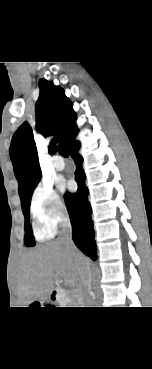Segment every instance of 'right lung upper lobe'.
Segmentation results:
<instances>
[{
	"instance_id": "obj_1",
	"label": "right lung upper lobe",
	"mask_w": 152,
	"mask_h": 369,
	"mask_svg": "<svg viewBox=\"0 0 152 369\" xmlns=\"http://www.w3.org/2000/svg\"><path fill=\"white\" fill-rule=\"evenodd\" d=\"M40 96L36 103V129L44 137L56 134L49 145V153L56 151L55 144L63 141L67 147L78 134L76 115L71 101L60 86L40 80ZM10 157L18 181L21 202L28 191L41 178L37 149L30 125L25 122L15 132L10 147Z\"/></svg>"
}]
</instances>
